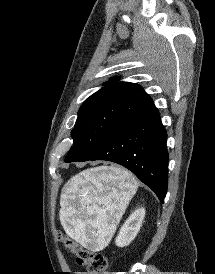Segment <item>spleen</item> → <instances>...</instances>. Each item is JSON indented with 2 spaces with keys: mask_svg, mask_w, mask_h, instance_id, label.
<instances>
[{
  "mask_svg": "<svg viewBox=\"0 0 215 274\" xmlns=\"http://www.w3.org/2000/svg\"><path fill=\"white\" fill-rule=\"evenodd\" d=\"M138 182L118 167L87 169L73 176L60 198V220L68 235L83 245L106 244L115 223L135 195Z\"/></svg>",
  "mask_w": 215,
  "mask_h": 274,
  "instance_id": "spleen-1",
  "label": "spleen"
}]
</instances>
